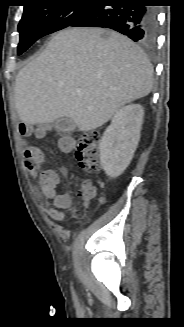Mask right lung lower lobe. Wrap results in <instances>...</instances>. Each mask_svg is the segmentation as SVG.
Listing matches in <instances>:
<instances>
[{
  "instance_id": "obj_1",
  "label": "right lung lower lobe",
  "mask_w": 184,
  "mask_h": 327,
  "mask_svg": "<svg viewBox=\"0 0 184 327\" xmlns=\"http://www.w3.org/2000/svg\"><path fill=\"white\" fill-rule=\"evenodd\" d=\"M107 0H99L71 26L104 27L118 31L134 41L151 45L157 32L155 9L142 6L144 0H121L106 6Z\"/></svg>"
}]
</instances>
